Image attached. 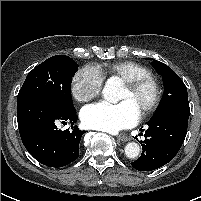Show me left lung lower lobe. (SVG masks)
<instances>
[{
	"label": "left lung lower lobe",
	"instance_id": "obj_1",
	"mask_svg": "<svg viewBox=\"0 0 201 201\" xmlns=\"http://www.w3.org/2000/svg\"><path fill=\"white\" fill-rule=\"evenodd\" d=\"M189 115V106L170 107L154 115L141 141L142 154L131 165L139 171H152L170 162L186 137Z\"/></svg>",
	"mask_w": 201,
	"mask_h": 201
}]
</instances>
